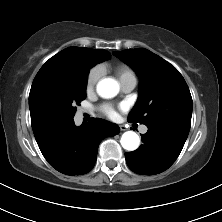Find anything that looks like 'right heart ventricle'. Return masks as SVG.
Segmentation results:
<instances>
[{
	"label": "right heart ventricle",
	"mask_w": 222,
	"mask_h": 222,
	"mask_svg": "<svg viewBox=\"0 0 222 222\" xmlns=\"http://www.w3.org/2000/svg\"><path fill=\"white\" fill-rule=\"evenodd\" d=\"M113 71L116 74L120 83L127 79H136L133 70L127 65L118 64L114 66Z\"/></svg>",
	"instance_id": "e07e8e85"
}]
</instances>
